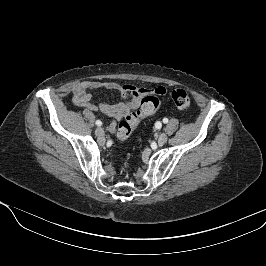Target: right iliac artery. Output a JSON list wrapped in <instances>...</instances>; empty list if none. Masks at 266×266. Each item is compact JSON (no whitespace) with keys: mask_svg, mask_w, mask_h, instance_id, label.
Masks as SVG:
<instances>
[{"mask_svg":"<svg viewBox=\"0 0 266 266\" xmlns=\"http://www.w3.org/2000/svg\"><path fill=\"white\" fill-rule=\"evenodd\" d=\"M96 125H97V126H101V125H102V122H101L100 120H97V121H96Z\"/></svg>","mask_w":266,"mask_h":266,"instance_id":"right-iliac-artery-1","label":"right iliac artery"}]
</instances>
